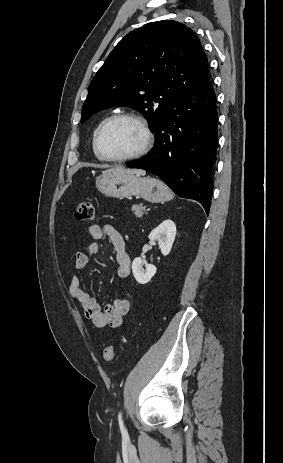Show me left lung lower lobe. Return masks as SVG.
I'll use <instances>...</instances> for the list:
<instances>
[{
    "label": "left lung lower lobe",
    "mask_w": 283,
    "mask_h": 463,
    "mask_svg": "<svg viewBox=\"0 0 283 463\" xmlns=\"http://www.w3.org/2000/svg\"><path fill=\"white\" fill-rule=\"evenodd\" d=\"M217 125L216 96L208 77L183 96L154 131L153 152L127 166L159 176L178 196L199 201L208 214Z\"/></svg>",
    "instance_id": "0a47b994"
}]
</instances>
